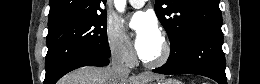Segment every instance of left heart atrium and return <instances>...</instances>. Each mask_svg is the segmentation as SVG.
<instances>
[{
	"mask_svg": "<svg viewBox=\"0 0 260 84\" xmlns=\"http://www.w3.org/2000/svg\"><path fill=\"white\" fill-rule=\"evenodd\" d=\"M134 32V47L145 58L152 54L161 42V33L155 19L143 12L136 13L130 24Z\"/></svg>",
	"mask_w": 260,
	"mask_h": 84,
	"instance_id": "39dd6f15",
	"label": "left heart atrium"
}]
</instances>
